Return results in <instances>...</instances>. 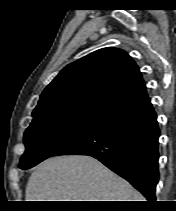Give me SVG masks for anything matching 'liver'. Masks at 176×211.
<instances>
[{"label": "liver", "mask_w": 176, "mask_h": 211, "mask_svg": "<svg viewBox=\"0 0 176 211\" xmlns=\"http://www.w3.org/2000/svg\"><path fill=\"white\" fill-rule=\"evenodd\" d=\"M126 180L89 156H59L29 177L26 201H143Z\"/></svg>", "instance_id": "liver-1"}]
</instances>
